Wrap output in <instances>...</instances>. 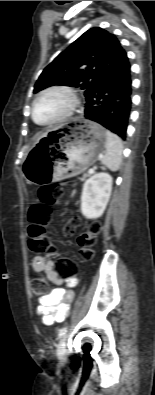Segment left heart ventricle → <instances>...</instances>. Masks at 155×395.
Segmentation results:
<instances>
[{
    "label": "left heart ventricle",
    "mask_w": 155,
    "mask_h": 395,
    "mask_svg": "<svg viewBox=\"0 0 155 395\" xmlns=\"http://www.w3.org/2000/svg\"><path fill=\"white\" fill-rule=\"evenodd\" d=\"M68 105L66 96L52 93L42 97L36 104L34 116L37 122H49L64 112Z\"/></svg>",
    "instance_id": "1"
}]
</instances>
